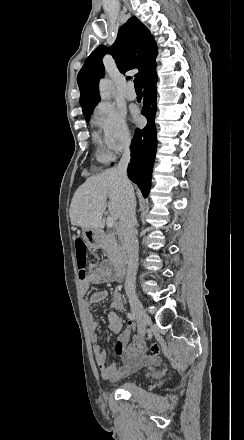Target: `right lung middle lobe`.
<instances>
[{
    "mask_svg": "<svg viewBox=\"0 0 244 440\" xmlns=\"http://www.w3.org/2000/svg\"><path fill=\"white\" fill-rule=\"evenodd\" d=\"M92 111H93V110H91V111H89V112H84V113H83L87 122H88L89 119H90V114L92 113Z\"/></svg>",
    "mask_w": 244,
    "mask_h": 440,
    "instance_id": "obj_1",
    "label": "right lung middle lobe"
}]
</instances>
